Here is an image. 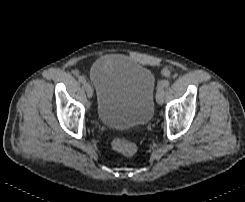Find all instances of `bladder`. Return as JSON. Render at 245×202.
Listing matches in <instances>:
<instances>
[{"label":"bladder","instance_id":"31cf9c89","mask_svg":"<svg viewBox=\"0 0 245 202\" xmlns=\"http://www.w3.org/2000/svg\"><path fill=\"white\" fill-rule=\"evenodd\" d=\"M95 86V113L110 128L148 124L154 113L156 80L145 66L129 63H96L90 72Z\"/></svg>","mask_w":245,"mask_h":202}]
</instances>
